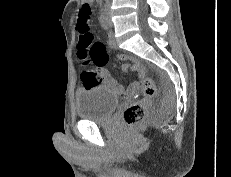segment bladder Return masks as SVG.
<instances>
[{"mask_svg":"<svg viewBox=\"0 0 231 177\" xmlns=\"http://www.w3.org/2000/svg\"><path fill=\"white\" fill-rule=\"evenodd\" d=\"M119 104L118 95L104 86H91L76 94V114L82 120L102 122L108 119Z\"/></svg>","mask_w":231,"mask_h":177,"instance_id":"obj_1","label":"bladder"}]
</instances>
